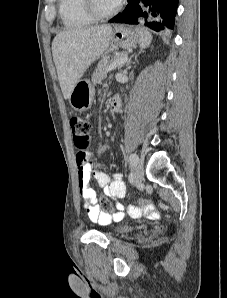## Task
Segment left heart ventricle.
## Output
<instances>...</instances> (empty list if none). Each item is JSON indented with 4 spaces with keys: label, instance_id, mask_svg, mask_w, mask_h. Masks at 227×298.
I'll return each instance as SVG.
<instances>
[{
    "label": "left heart ventricle",
    "instance_id": "left-heart-ventricle-1",
    "mask_svg": "<svg viewBox=\"0 0 227 298\" xmlns=\"http://www.w3.org/2000/svg\"><path fill=\"white\" fill-rule=\"evenodd\" d=\"M96 9L101 13H106L115 7L113 0H94Z\"/></svg>",
    "mask_w": 227,
    "mask_h": 298
}]
</instances>
